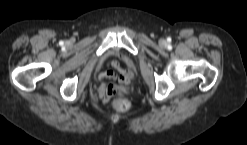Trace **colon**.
Here are the masks:
<instances>
[{
	"instance_id": "1",
	"label": "colon",
	"mask_w": 247,
	"mask_h": 145,
	"mask_svg": "<svg viewBox=\"0 0 247 145\" xmlns=\"http://www.w3.org/2000/svg\"><path fill=\"white\" fill-rule=\"evenodd\" d=\"M115 93V89L112 86L108 87V94L112 95ZM113 106L118 111H126L129 108V102L126 99H116L113 103Z\"/></svg>"
}]
</instances>
